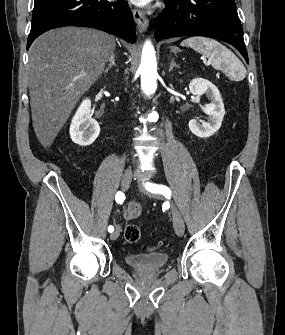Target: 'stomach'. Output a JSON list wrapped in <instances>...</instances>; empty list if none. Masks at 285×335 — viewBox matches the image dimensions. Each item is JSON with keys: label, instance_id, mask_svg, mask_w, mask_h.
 Instances as JSON below:
<instances>
[{"label": "stomach", "instance_id": "obj_1", "mask_svg": "<svg viewBox=\"0 0 285 335\" xmlns=\"http://www.w3.org/2000/svg\"><path fill=\"white\" fill-rule=\"evenodd\" d=\"M171 52H178L177 48H171Z\"/></svg>", "mask_w": 285, "mask_h": 335}]
</instances>
